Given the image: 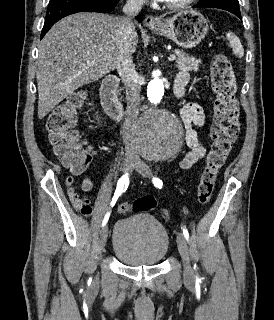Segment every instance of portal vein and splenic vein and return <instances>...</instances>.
<instances>
[{"label":"portal vein and splenic vein","instance_id":"obj_1","mask_svg":"<svg viewBox=\"0 0 274 320\" xmlns=\"http://www.w3.org/2000/svg\"><path fill=\"white\" fill-rule=\"evenodd\" d=\"M169 60H176V56H169ZM88 66H92L94 62H87Z\"/></svg>","mask_w":274,"mask_h":320}]
</instances>
